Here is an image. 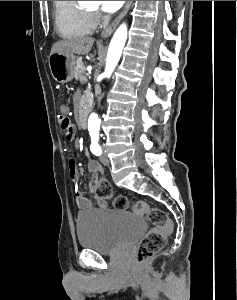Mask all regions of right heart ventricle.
<instances>
[{"mask_svg": "<svg viewBox=\"0 0 237 300\" xmlns=\"http://www.w3.org/2000/svg\"><path fill=\"white\" fill-rule=\"evenodd\" d=\"M57 32L63 37L89 34L94 28V18L78 1H53Z\"/></svg>", "mask_w": 237, "mask_h": 300, "instance_id": "obj_1", "label": "right heart ventricle"}]
</instances>
